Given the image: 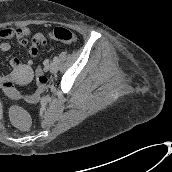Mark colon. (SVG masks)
<instances>
[{"instance_id": "obj_1", "label": "colon", "mask_w": 172, "mask_h": 172, "mask_svg": "<svg viewBox=\"0 0 172 172\" xmlns=\"http://www.w3.org/2000/svg\"><path fill=\"white\" fill-rule=\"evenodd\" d=\"M50 37L64 43H76L78 37L65 27L58 26L49 34ZM48 79L41 69L37 70L36 91L28 96L23 97L15 88L13 81L10 78L3 80L1 86L4 93L11 99H25L28 102H37L47 86ZM10 117L15 125L21 130H27L30 126L29 116L19 107L12 106L10 108Z\"/></svg>"}]
</instances>
